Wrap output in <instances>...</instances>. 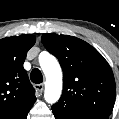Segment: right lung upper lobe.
I'll use <instances>...</instances> for the list:
<instances>
[{"mask_svg":"<svg viewBox=\"0 0 119 119\" xmlns=\"http://www.w3.org/2000/svg\"><path fill=\"white\" fill-rule=\"evenodd\" d=\"M35 44L31 34L0 39V119H15L36 101L23 63Z\"/></svg>","mask_w":119,"mask_h":119,"instance_id":"cb5924a9","label":"right lung upper lobe"}]
</instances>
